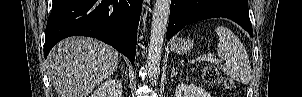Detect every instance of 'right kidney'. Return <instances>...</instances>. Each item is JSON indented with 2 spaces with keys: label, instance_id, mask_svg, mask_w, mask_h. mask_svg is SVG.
<instances>
[{
  "label": "right kidney",
  "instance_id": "obj_1",
  "mask_svg": "<svg viewBox=\"0 0 302 97\" xmlns=\"http://www.w3.org/2000/svg\"><path fill=\"white\" fill-rule=\"evenodd\" d=\"M109 93L113 94L114 97H121V81L117 79H108L96 91H94V93H92L91 97H107Z\"/></svg>",
  "mask_w": 302,
  "mask_h": 97
}]
</instances>
